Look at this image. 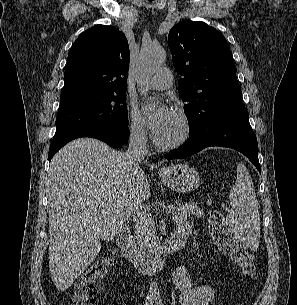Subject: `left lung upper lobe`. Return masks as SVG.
Here are the masks:
<instances>
[{
	"mask_svg": "<svg viewBox=\"0 0 297 305\" xmlns=\"http://www.w3.org/2000/svg\"><path fill=\"white\" fill-rule=\"evenodd\" d=\"M179 79L178 92L191 123L190 131L230 105L242 103L236 66L224 36L204 22L184 21L169 32Z\"/></svg>",
	"mask_w": 297,
	"mask_h": 305,
	"instance_id": "1",
	"label": "left lung upper lobe"
}]
</instances>
